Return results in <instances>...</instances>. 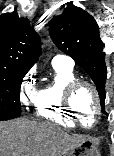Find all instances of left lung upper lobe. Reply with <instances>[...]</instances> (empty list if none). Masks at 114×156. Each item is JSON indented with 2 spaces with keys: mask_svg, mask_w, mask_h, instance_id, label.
<instances>
[{
  "mask_svg": "<svg viewBox=\"0 0 114 156\" xmlns=\"http://www.w3.org/2000/svg\"><path fill=\"white\" fill-rule=\"evenodd\" d=\"M49 33L57 47L71 56L92 78L104 112L107 67L95 19L83 9L69 4L62 15L50 21Z\"/></svg>",
  "mask_w": 114,
  "mask_h": 156,
  "instance_id": "left-lung-upper-lobe-1",
  "label": "left lung upper lobe"
}]
</instances>
